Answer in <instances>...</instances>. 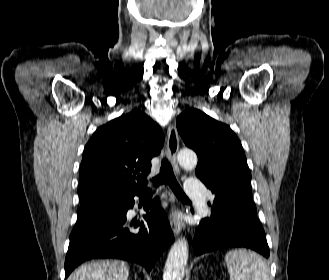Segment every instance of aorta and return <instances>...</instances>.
Segmentation results:
<instances>
[{"instance_id": "762f6f07", "label": "aorta", "mask_w": 329, "mask_h": 280, "mask_svg": "<svg viewBox=\"0 0 329 280\" xmlns=\"http://www.w3.org/2000/svg\"><path fill=\"white\" fill-rule=\"evenodd\" d=\"M184 169H193L197 165V156L193 151L181 150L177 156ZM188 260V243L183 237L171 247L163 273V280H182Z\"/></svg>"}]
</instances>
